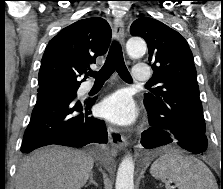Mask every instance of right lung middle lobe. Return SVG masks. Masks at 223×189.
<instances>
[{
    "label": "right lung middle lobe",
    "mask_w": 223,
    "mask_h": 189,
    "mask_svg": "<svg viewBox=\"0 0 223 189\" xmlns=\"http://www.w3.org/2000/svg\"><path fill=\"white\" fill-rule=\"evenodd\" d=\"M73 91H77V89H58L51 92H73Z\"/></svg>",
    "instance_id": "right-lung-middle-lobe-1"
}]
</instances>
